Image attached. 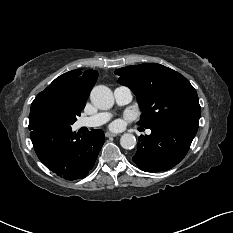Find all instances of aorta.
Instances as JSON below:
<instances>
[{"label":"aorta","instance_id":"1","mask_svg":"<svg viewBox=\"0 0 233 233\" xmlns=\"http://www.w3.org/2000/svg\"><path fill=\"white\" fill-rule=\"evenodd\" d=\"M90 100L95 107L101 110L110 109L114 104L112 91L104 85H98L92 89ZM136 144V138L133 134L125 133L120 138V145L124 149H132Z\"/></svg>","mask_w":233,"mask_h":233}]
</instances>
